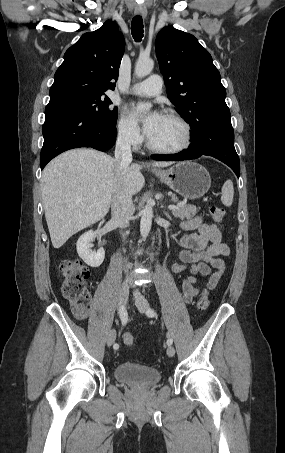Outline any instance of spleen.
Segmentation results:
<instances>
[{"mask_svg": "<svg viewBox=\"0 0 285 453\" xmlns=\"http://www.w3.org/2000/svg\"><path fill=\"white\" fill-rule=\"evenodd\" d=\"M233 196H234V188L233 182L231 180H227L221 190V202L224 206L230 207L233 203Z\"/></svg>", "mask_w": 285, "mask_h": 453, "instance_id": "obj_1", "label": "spleen"}]
</instances>
